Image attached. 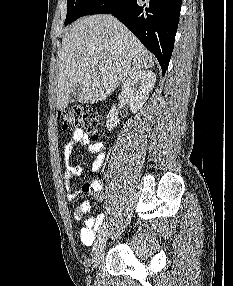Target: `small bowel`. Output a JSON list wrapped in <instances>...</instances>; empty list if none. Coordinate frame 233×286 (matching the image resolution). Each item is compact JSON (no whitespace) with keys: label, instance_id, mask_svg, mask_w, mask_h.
<instances>
[{"label":"small bowel","instance_id":"1","mask_svg":"<svg viewBox=\"0 0 233 286\" xmlns=\"http://www.w3.org/2000/svg\"><path fill=\"white\" fill-rule=\"evenodd\" d=\"M85 146L88 148L89 152L96 154V159L92 164V171L97 172L102 167L106 154L107 147L105 142L97 141L93 142L91 137L85 133L82 129H76L73 132L71 139L66 143L64 147V161L66 165L65 170V187L68 191L67 198L69 201H74L80 194V191H72L71 180L74 177H79L83 173V167L81 165H76L71 163V156L73 150L78 146ZM83 193L86 192L82 189ZM94 196L101 199L102 198V187L100 189L92 192ZM91 210V204L88 201H83L75 210L73 211V219L78 221L82 216ZM103 220V214L97 216L88 217L85 220L84 226L79 230V238L84 245H91L94 241L95 234Z\"/></svg>","mask_w":233,"mask_h":286}]
</instances>
